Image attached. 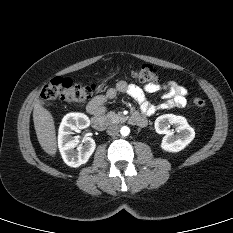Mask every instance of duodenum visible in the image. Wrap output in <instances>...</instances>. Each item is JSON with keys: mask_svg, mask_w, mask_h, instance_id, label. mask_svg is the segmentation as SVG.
<instances>
[{"mask_svg": "<svg viewBox=\"0 0 233 233\" xmlns=\"http://www.w3.org/2000/svg\"><path fill=\"white\" fill-rule=\"evenodd\" d=\"M109 122L110 120L108 117L98 113H91V123L95 129L104 130L109 125ZM130 122L133 124L144 126L146 124V117L141 114L135 113L130 117Z\"/></svg>", "mask_w": 233, "mask_h": 233, "instance_id": "1", "label": "duodenum"}]
</instances>
